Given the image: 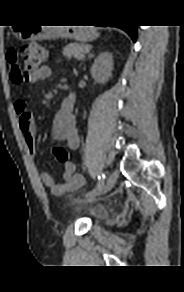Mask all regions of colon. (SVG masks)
I'll use <instances>...</instances> for the list:
<instances>
[{
	"label": "colon",
	"mask_w": 184,
	"mask_h": 292,
	"mask_svg": "<svg viewBox=\"0 0 184 292\" xmlns=\"http://www.w3.org/2000/svg\"><path fill=\"white\" fill-rule=\"evenodd\" d=\"M47 51L37 44H26L20 48L10 49L7 60L10 64V79L13 83L28 80L45 62ZM52 156L58 163H67L68 153L62 147L52 149Z\"/></svg>",
	"instance_id": "obj_1"
}]
</instances>
